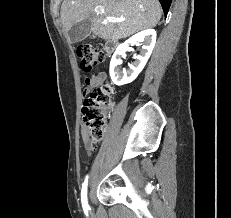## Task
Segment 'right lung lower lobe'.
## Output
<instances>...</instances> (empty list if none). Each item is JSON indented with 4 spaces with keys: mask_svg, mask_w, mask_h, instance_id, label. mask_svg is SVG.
Returning a JSON list of instances; mask_svg holds the SVG:
<instances>
[{
    "mask_svg": "<svg viewBox=\"0 0 231 218\" xmlns=\"http://www.w3.org/2000/svg\"><path fill=\"white\" fill-rule=\"evenodd\" d=\"M159 2H160L161 5H162L164 14L167 15L172 0H159Z\"/></svg>",
    "mask_w": 231,
    "mask_h": 218,
    "instance_id": "obj_1",
    "label": "right lung lower lobe"
}]
</instances>
